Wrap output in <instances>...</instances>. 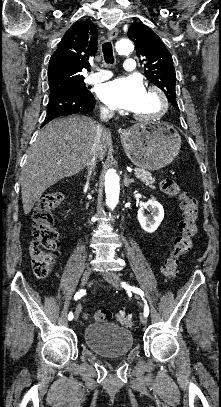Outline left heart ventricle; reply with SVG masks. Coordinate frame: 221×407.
Here are the masks:
<instances>
[{
  "label": "left heart ventricle",
  "instance_id": "b2bd125f",
  "mask_svg": "<svg viewBox=\"0 0 221 407\" xmlns=\"http://www.w3.org/2000/svg\"><path fill=\"white\" fill-rule=\"evenodd\" d=\"M158 109L159 102L157 97L154 94L145 91L139 106L133 112L137 114H154Z\"/></svg>",
  "mask_w": 221,
  "mask_h": 407
}]
</instances>
